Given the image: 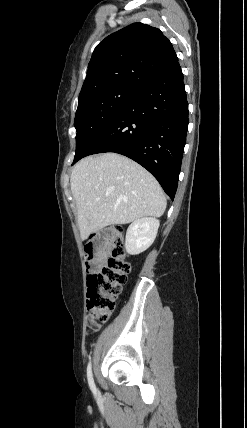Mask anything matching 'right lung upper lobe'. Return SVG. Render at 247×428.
<instances>
[{
  "label": "right lung upper lobe",
  "instance_id": "cb5924a9",
  "mask_svg": "<svg viewBox=\"0 0 247 428\" xmlns=\"http://www.w3.org/2000/svg\"><path fill=\"white\" fill-rule=\"evenodd\" d=\"M177 62L171 42L159 29L131 24L95 47L79 96L113 86L141 90Z\"/></svg>",
  "mask_w": 247,
  "mask_h": 428
}]
</instances>
